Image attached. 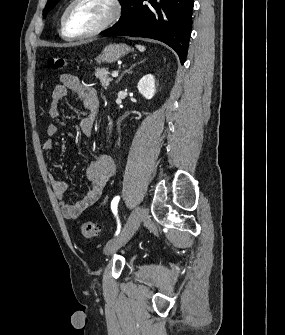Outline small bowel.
Segmentation results:
<instances>
[{
  "instance_id": "c3829d8e",
  "label": "small bowel",
  "mask_w": 285,
  "mask_h": 335,
  "mask_svg": "<svg viewBox=\"0 0 285 335\" xmlns=\"http://www.w3.org/2000/svg\"><path fill=\"white\" fill-rule=\"evenodd\" d=\"M68 91L74 92L87 110V114L81 121V130L84 135L92 136L95 127V112L99 106L97 92L94 88L82 84L74 75L62 74L60 76V83L54 87L52 92L48 110L49 116L52 119L59 118L60 103ZM58 131V125L54 122L47 126L46 133L48 139L42 146V151L45 155H50L53 152L54 145L52 139L58 134ZM114 169V162L107 155H99L95 160L91 161L86 168V177L90 181L91 187L81 200L72 205L65 203L67 183L50 174L49 181L54 195L61 205L63 216L68 220L77 219L86 209L95 204L100 198Z\"/></svg>"
}]
</instances>
